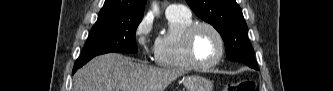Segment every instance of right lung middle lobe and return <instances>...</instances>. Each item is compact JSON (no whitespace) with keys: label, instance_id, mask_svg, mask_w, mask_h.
<instances>
[{"label":"right lung middle lobe","instance_id":"right-lung-middle-lobe-1","mask_svg":"<svg viewBox=\"0 0 333 91\" xmlns=\"http://www.w3.org/2000/svg\"><path fill=\"white\" fill-rule=\"evenodd\" d=\"M143 16L101 17L92 27L81 57L109 52L136 53L135 33Z\"/></svg>","mask_w":333,"mask_h":91}]
</instances>
